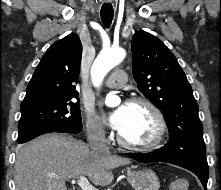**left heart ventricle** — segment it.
I'll list each match as a JSON object with an SVG mask.
<instances>
[{
    "label": "left heart ventricle",
    "mask_w": 221,
    "mask_h": 190,
    "mask_svg": "<svg viewBox=\"0 0 221 190\" xmlns=\"http://www.w3.org/2000/svg\"><path fill=\"white\" fill-rule=\"evenodd\" d=\"M155 131V121L151 111L142 105L128 104V116L121 135L132 143L149 142Z\"/></svg>",
    "instance_id": "b2bd125f"
}]
</instances>
